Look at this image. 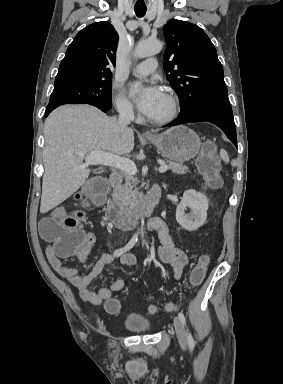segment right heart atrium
Here are the masks:
<instances>
[{"instance_id":"obj_1","label":"right heart atrium","mask_w":283,"mask_h":384,"mask_svg":"<svg viewBox=\"0 0 283 384\" xmlns=\"http://www.w3.org/2000/svg\"><path fill=\"white\" fill-rule=\"evenodd\" d=\"M113 104L122 117L129 118L133 115V106L122 93H114Z\"/></svg>"}]
</instances>
